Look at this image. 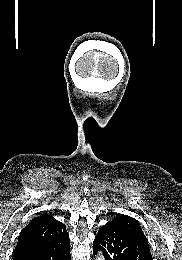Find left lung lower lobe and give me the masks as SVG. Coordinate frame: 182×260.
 Segmentation results:
<instances>
[{
    "label": "left lung lower lobe",
    "instance_id": "left-lung-lower-lobe-1",
    "mask_svg": "<svg viewBox=\"0 0 182 260\" xmlns=\"http://www.w3.org/2000/svg\"><path fill=\"white\" fill-rule=\"evenodd\" d=\"M105 260H153L148 242L117 228L102 226L93 242V253Z\"/></svg>",
    "mask_w": 182,
    "mask_h": 260
}]
</instances>
